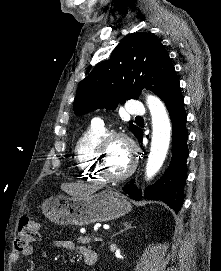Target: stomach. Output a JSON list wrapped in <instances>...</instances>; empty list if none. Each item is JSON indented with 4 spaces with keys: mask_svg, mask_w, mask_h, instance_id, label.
<instances>
[{
    "mask_svg": "<svg viewBox=\"0 0 221 271\" xmlns=\"http://www.w3.org/2000/svg\"><path fill=\"white\" fill-rule=\"evenodd\" d=\"M132 205L116 189H102L82 197H48L43 213L59 225H89L109 221L131 211Z\"/></svg>",
    "mask_w": 221,
    "mask_h": 271,
    "instance_id": "1",
    "label": "stomach"
}]
</instances>
